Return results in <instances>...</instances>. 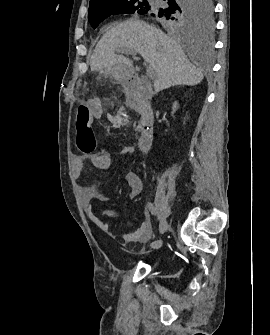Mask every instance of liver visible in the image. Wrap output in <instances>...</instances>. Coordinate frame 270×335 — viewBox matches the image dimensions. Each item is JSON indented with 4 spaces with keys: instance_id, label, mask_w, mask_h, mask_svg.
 Listing matches in <instances>:
<instances>
[{
    "instance_id": "obj_1",
    "label": "liver",
    "mask_w": 270,
    "mask_h": 335,
    "mask_svg": "<svg viewBox=\"0 0 270 335\" xmlns=\"http://www.w3.org/2000/svg\"><path fill=\"white\" fill-rule=\"evenodd\" d=\"M119 50H135L154 68L157 76L153 84L155 92L180 84L196 86L204 78L201 70L185 56L179 40L169 38L162 30L143 20L131 18L105 32L90 60L92 72L128 74L130 66L122 64L126 58L115 54ZM127 62L132 64L131 60Z\"/></svg>"
}]
</instances>
